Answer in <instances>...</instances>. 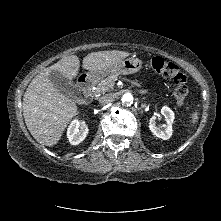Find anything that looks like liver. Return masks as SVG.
<instances>
[{"label":"liver","mask_w":221,"mask_h":221,"mask_svg":"<svg viewBox=\"0 0 221 221\" xmlns=\"http://www.w3.org/2000/svg\"><path fill=\"white\" fill-rule=\"evenodd\" d=\"M130 54L118 50L93 52L83 58V68L90 71L105 70ZM79 68L80 61L76 55L64 57L36 75L26 89L23 97L25 124L41 145H56L78 112L76 103L53 87L49 80L50 73L58 70L72 80L78 75Z\"/></svg>","instance_id":"6515ba94"}]
</instances>
